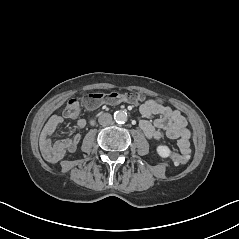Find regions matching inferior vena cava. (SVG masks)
<instances>
[{"mask_svg":"<svg viewBox=\"0 0 239 239\" xmlns=\"http://www.w3.org/2000/svg\"><path fill=\"white\" fill-rule=\"evenodd\" d=\"M99 124L103 126H108L112 123V116L109 113L101 114L98 118Z\"/></svg>","mask_w":239,"mask_h":239,"instance_id":"1","label":"inferior vena cava"}]
</instances>
